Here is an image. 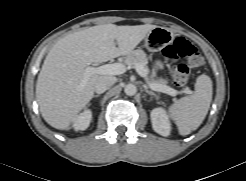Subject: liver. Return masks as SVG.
I'll return each mask as SVG.
<instances>
[{
    "label": "liver",
    "instance_id": "1",
    "mask_svg": "<svg viewBox=\"0 0 246 181\" xmlns=\"http://www.w3.org/2000/svg\"><path fill=\"white\" fill-rule=\"evenodd\" d=\"M156 27L104 24L58 40L48 52L36 83V98L44 120L56 129H68L93 98L101 77L94 74L83 84L85 68L130 54Z\"/></svg>",
    "mask_w": 246,
    "mask_h": 181
}]
</instances>
